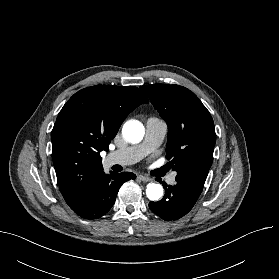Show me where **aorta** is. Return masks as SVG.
<instances>
[{
  "instance_id": "obj_1",
  "label": "aorta",
  "mask_w": 279,
  "mask_h": 279,
  "mask_svg": "<svg viewBox=\"0 0 279 279\" xmlns=\"http://www.w3.org/2000/svg\"><path fill=\"white\" fill-rule=\"evenodd\" d=\"M124 138L130 143H139L144 136V126L136 120L127 121L122 129ZM146 195L149 200L156 201L163 195V187L157 183H149L146 188Z\"/></svg>"
}]
</instances>
